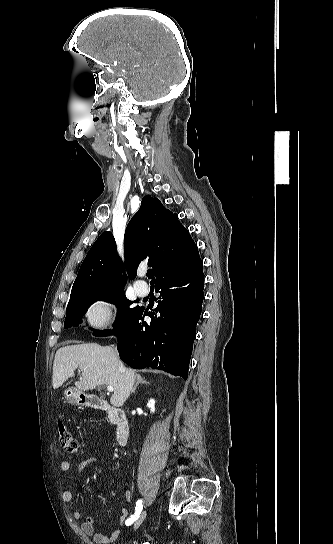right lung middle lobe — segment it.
Returning a JSON list of instances; mask_svg holds the SVG:
<instances>
[{"label": "right lung middle lobe", "instance_id": "1", "mask_svg": "<svg viewBox=\"0 0 333 544\" xmlns=\"http://www.w3.org/2000/svg\"><path fill=\"white\" fill-rule=\"evenodd\" d=\"M97 300H103L116 304L117 318L114 326H119L133 316L140 307H132L133 301L125 297L124 289L114 291H94L74 297L69 300L64 327L78 326L82 315H84L91 304ZM108 333V331H95V335Z\"/></svg>", "mask_w": 333, "mask_h": 544}]
</instances>
